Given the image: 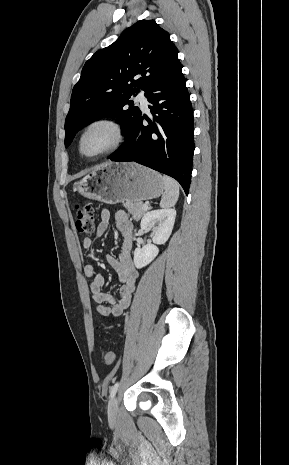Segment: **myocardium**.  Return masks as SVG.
Returning a JSON list of instances; mask_svg holds the SVG:
<instances>
[{"mask_svg":"<svg viewBox=\"0 0 289 465\" xmlns=\"http://www.w3.org/2000/svg\"><path fill=\"white\" fill-rule=\"evenodd\" d=\"M96 126H104V127L109 128L114 135L113 141L109 146H107L106 148H104L103 150L97 153L85 154L82 151V141L84 137L86 136V134L92 128ZM124 140H125V132H124L122 124L118 120H116L115 118L109 117V116H97L89 120L81 129L77 137L76 149H77L78 154L82 158L86 160H94V159H97L101 156H104L106 154H109L117 150L122 145Z\"/></svg>","mask_w":289,"mask_h":465,"instance_id":"obj_1","label":"myocardium"}]
</instances>
